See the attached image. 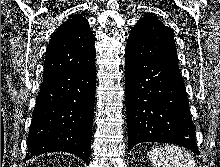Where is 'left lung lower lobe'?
<instances>
[{
	"label": "left lung lower lobe",
	"mask_w": 220,
	"mask_h": 167,
	"mask_svg": "<svg viewBox=\"0 0 220 167\" xmlns=\"http://www.w3.org/2000/svg\"><path fill=\"white\" fill-rule=\"evenodd\" d=\"M128 148L140 142L184 146L200 154L178 65L125 52Z\"/></svg>",
	"instance_id": "left-lung-lower-lobe-1"
}]
</instances>
